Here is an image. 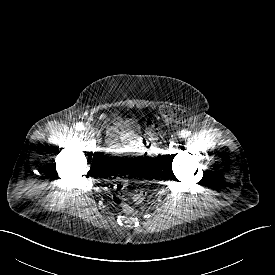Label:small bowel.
<instances>
[{"label": "small bowel", "instance_id": "1", "mask_svg": "<svg viewBox=\"0 0 275 275\" xmlns=\"http://www.w3.org/2000/svg\"><path fill=\"white\" fill-rule=\"evenodd\" d=\"M140 129L141 127L132 120L117 119L107 129V141L112 147H114L117 140L132 146L136 145L140 142Z\"/></svg>", "mask_w": 275, "mask_h": 275}]
</instances>
